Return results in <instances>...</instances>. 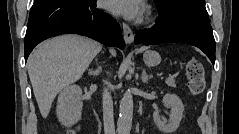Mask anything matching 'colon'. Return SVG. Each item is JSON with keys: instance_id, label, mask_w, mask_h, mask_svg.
<instances>
[{"instance_id": "1", "label": "colon", "mask_w": 239, "mask_h": 134, "mask_svg": "<svg viewBox=\"0 0 239 134\" xmlns=\"http://www.w3.org/2000/svg\"><path fill=\"white\" fill-rule=\"evenodd\" d=\"M186 73L191 95H200L205 89V70L202 63L197 59L188 60L186 63ZM68 134H75V131H69Z\"/></svg>"}]
</instances>
